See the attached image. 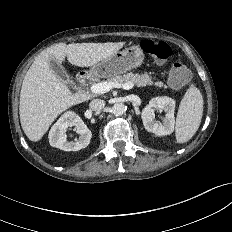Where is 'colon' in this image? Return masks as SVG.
<instances>
[{
	"instance_id": "colon-1",
	"label": "colon",
	"mask_w": 232,
	"mask_h": 232,
	"mask_svg": "<svg viewBox=\"0 0 232 232\" xmlns=\"http://www.w3.org/2000/svg\"><path fill=\"white\" fill-rule=\"evenodd\" d=\"M143 51L157 61H165L172 55L171 46L163 41L144 40L141 43ZM191 80L189 69L181 64L174 63L169 72V81L174 87L187 85Z\"/></svg>"
}]
</instances>
